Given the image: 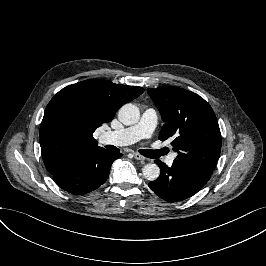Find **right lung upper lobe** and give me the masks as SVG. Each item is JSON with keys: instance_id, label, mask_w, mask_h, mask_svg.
Segmentation results:
<instances>
[{"instance_id": "cb5924a9", "label": "right lung upper lobe", "mask_w": 266, "mask_h": 266, "mask_svg": "<svg viewBox=\"0 0 266 266\" xmlns=\"http://www.w3.org/2000/svg\"><path fill=\"white\" fill-rule=\"evenodd\" d=\"M143 92L142 87L98 79L85 80L59 91L45 109L39 133L48 171L54 174L69 156L98 148L94 131L110 122L124 103Z\"/></svg>"}]
</instances>
